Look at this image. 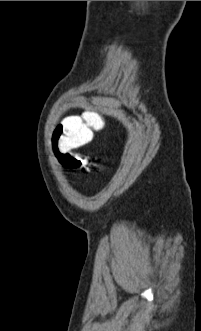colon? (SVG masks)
I'll return each instance as SVG.
<instances>
[{
    "instance_id": "obj_1",
    "label": "colon",
    "mask_w": 201,
    "mask_h": 331,
    "mask_svg": "<svg viewBox=\"0 0 201 331\" xmlns=\"http://www.w3.org/2000/svg\"><path fill=\"white\" fill-rule=\"evenodd\" d=\"M104 127L103 119L95 112L69 116L60 121L54 129L52 144L61 164L70 170L85 169L87 159L71 154L69 150L90 143L93 133Z\"/></svg>"
}]
</instances>
